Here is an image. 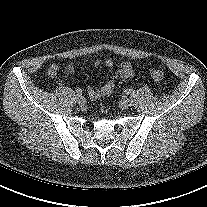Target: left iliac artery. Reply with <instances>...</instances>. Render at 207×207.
<instances>
[{"mask_svg": "<svg viewBox=\"0 0 207 207\" xmlns=\"http://www.w3.org/2000/svg\"><path fill=\"white\" fill-rule=\"evenodd\" d=\"M124 92H125V94H127V95H128V94H130V93H131V89H125V90H124Z\"/></svg>", "mask_w": 207, "mask_h": 207, "instance_id": "1", "label": "left iliac artery"}]
</instances>
